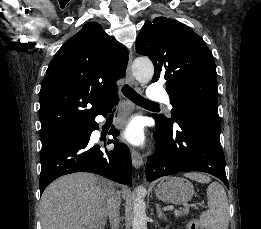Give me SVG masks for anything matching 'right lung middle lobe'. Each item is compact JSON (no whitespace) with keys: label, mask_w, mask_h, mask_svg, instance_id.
Wrapping results in <instances>:
<instances>
[{"label":"right lung middle lobe","mask_w":261,"mask_h":229,"mask_svg":"<svg viewBox=\"0 0 261 229\" xmlns=\"http://www.w3.org/2000/svg\"><path fill=\"white\" fill-rule=\"evenodd\" d=\"M42 141V150L54 144L57 140V133L55 131H45L40 133Z\"/></svg>","instance_id":"dd1d6c3e"}]
</instances>
